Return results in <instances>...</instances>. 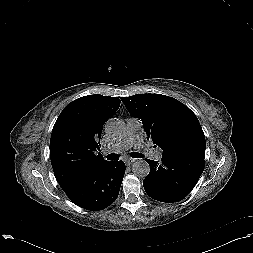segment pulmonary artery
I'll use <instances>...</instances> for the list:
<instances>
[{"mask_svg":"<svg viewBox=\"0 0 253 253\" xmlns=\"http://www.w3.org/2000/svg\"><path fill=\"white\" fill-rule=\"evenodd\" d=\"M143 146V132L141 123L135 119H128L126 130L123 136L115 143L108 146L104 153L119 154L131 147L140 148ZM149 155L153 160L160 161L162 158L161 149H150Z\"/></svg>","mask_w":253,"mask_h":253,"instance_id":"1","label":"pulmonary artery"}]
</instances>
